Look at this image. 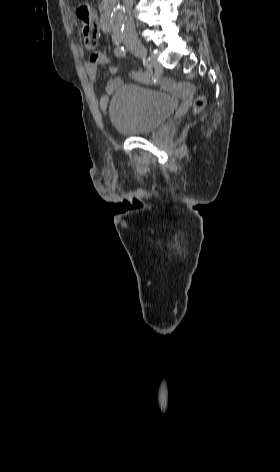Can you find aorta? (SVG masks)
<instances>
[{
  "mask_svg": "<svg viewBox=\"0 0 280 472\" xmlns=\"http://www.w3.org/2000/svg\"><path fill=\"white\" fill-rule=\"evenodd\" d=\"M126 20V11L123 6L117 5L111 15V26L113 29H120Z\"/></svg>",
  "mask_w": 280,
  "mask_h": 472,
  "instance_id": "762f6f07",
  "label": "aorta"
}]
</instances>
